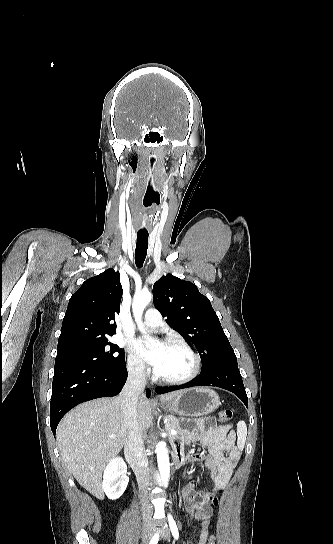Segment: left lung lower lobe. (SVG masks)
I'll use <instances>...</instances> for the list:
<instances>
[{
	"label": "left lung lower lobe",
	"mask_w": 333,
	"mask_h": 544,
	"mask_svg": "<svg viewBox=\"0 0 333 544\" xmlns=\"http://www.w3.org/2000/svg\"><path fill=\"white\" fill-rule=\"evenodd\" d=\"M194 386H215L233 392L237 395L248 408V398L244 384L238 369L237 363L225 362L214 364L201 371L200 375L191 382L182 386L158 387L156 393L164 394L167 392L194 387Z\"/></svg>",
	"instance_id": "1"
}]
</instances>
